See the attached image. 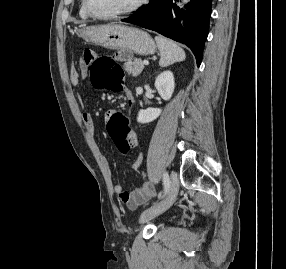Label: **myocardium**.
Wrapping results in <instances>:
<instances>
[{
    "label": "myocardium",
    "mask_w": 286,
    "mask_h": 269,
    "mask_svg": "<svg viewBox=\"0 0 286 269\" xmlns=\"http://www.w3.org/2000/svg\"><path fill=\"white\" fill-rule=\"evenodd\" d=\"M149 1L150 0H138L131 7L125 10L115 12L112 14H107V15H101V14L95 13L90 7L89 0H83V4H84L85 11L87 12L89 16L96 18V19H100V20H109V19H116V18H120L126 15L133 14L139 11L140 9H142Z\"/></svg>",
    "instance_id": "f54148a6"
}]
</instances>
